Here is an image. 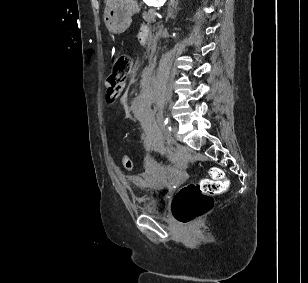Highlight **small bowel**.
<instances>
[{
	"instance_id": "1",
	"label": "small bowel",
	"mask_w": 308,
	"mask_h": 283,
	"mask_svg": "<svg viewBox=\"0 0 308 283\" xmlns=\"http://www.w3.org/2000/svg\"><path fill=\"white\" fill-rule=\"evenodd\" d=\"M146 32V29L142 30L141 36ZM106 86V99L109 104H113L118 98H120L124 117L130 119L132 116L138 120H143L149 108L147 97L144 94L138 95L130 103L128 102V95L122 94L124 85L113 86L108 81L105 83Z\"/></svg>"
}]
</instances>
